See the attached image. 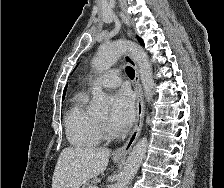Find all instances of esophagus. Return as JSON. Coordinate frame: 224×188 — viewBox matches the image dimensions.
<instances>
[{
	"label": "esophagus",
	"instance_id": "esophagus-1",
	"mask_svg": "<svg viewBox=\"0 0 224 188\" xmlns=\"http://www.w3.org/2000/svg\"><path fill=\"white\" fill-rule=\"evenodd\" d=\"M128 35L129 36L131 35L130 31H128ZM125 60L134 68V71H135V80L133 83V88L137 96L136 122L125 144L113 152V156L115 157H125L131 151L132 147L134 146V144L136 143L139 137V134L143 125L144 112H145L144 98H143V92H142V88L140 84V75H139L138 66L135 60L131 57L129 53L125 55Z\"/></svg>",
	"mask_w": 224,
	"mask_h": 188
}]
</instances>
